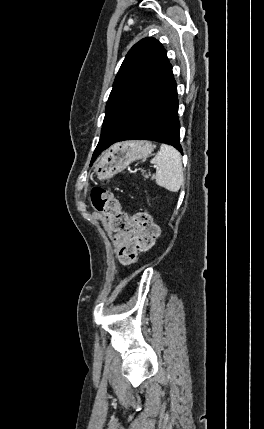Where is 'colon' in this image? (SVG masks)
<instances>
[{
    "instance_id": "1",
    "label": "colon",
    "mask_w": 264,
    "mask_h": 429,
    "mask_svg": "<svg viewBox=\"0 0 264 429\" xmlns=\"http://www.w3.org/2000/svg\"><path fill=\"white\" fill-rule=\"evenodd\" d=\"M91 200L94 208L106 216L113 232L131 233L129 242L119 251V260L123 265L135 263L140 253L153 247L159 229L147 212L128 215L121 209L116 196L101 187L92 189Z\"/></svg>"
}]
</instances>
